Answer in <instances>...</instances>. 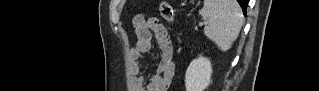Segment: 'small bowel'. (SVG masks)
<instances>
[{"label": "small bowel", "mask_w": 319, "mask_h": 91, "mask_svg": "<svg viewBox=\"0 0 319 91\" xmlns=\"http://www.w3.org/2000/svg\"><path fill=\"white\" fill-rule=\"evenodd\" d=\"M133 22L137 37L134 56L150 52L152 42L155 40L160 50V60L155 73L148 80L139 74L140 64L136 61L133 63L132 90L168 91L175 70L174 46L168 29L156 17L147 18L138 15Z\"/></svg>", "instance_id": "c3829d8e"}]
</instances>
